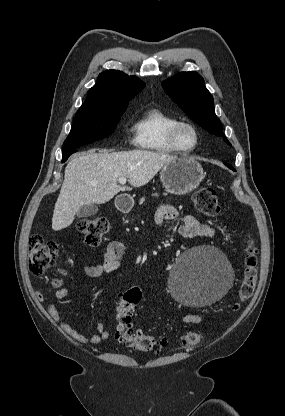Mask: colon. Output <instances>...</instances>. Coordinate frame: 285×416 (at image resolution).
<instances>
[{
	"mask_svg": "<svg viewBox=\"0 0 285 416\" xmlns=\"http://www.w3.org/2000/svg\"><path fill=\"white\" fill-rule=\"evenodd\" d=\"M193 204L198 212L207 217L220 213V204L215 190L210 186L198 189L193 195ZM110 224L105 218H84L78 223V230L85 242L97 246ZM58 246L52 240L41 235H33L29 240V270L35 276H41L56 261ZM244 277L237 290L238 304L250 299L254 293L258 278V257L256 247L250 243L245 250ZM58 283H56L57 285ZM142 299V291L137 286L128 288L121 296L116 306V338L126 347L140 352H157L166 346V339L157 338L141 330L133 329L131 318L134 309ZM203 335L189 331L183 337L185 346L199 344Z\"/></svg>",
	"mask_w": 285,
	"mask_h": 416,
	"instance_id": "obj_1",
	"label": "colon"
}]
</instances>
